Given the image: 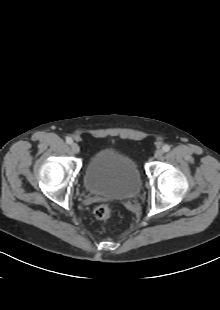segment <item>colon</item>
Instances as JSON below:
<instances>
[{
	"mask_svg": "<svg viewBox=\"0 0 220 310\" xmlns=\"http://www.w3.org/2000/svg\"><path fill=\"white\" fill-rule=\"evenodd\" d=\"M113 207L108 204H102L96 207L94 215L97 219L106 220L113 215Z\"/></svg>",
	"mask_w": 220,
	"mask_h": 310,
	"instance_id": "5ec220e1",
	"label": "colon"
}]
</instances>
